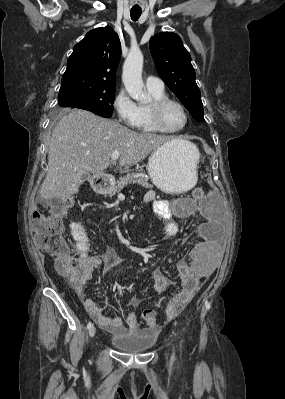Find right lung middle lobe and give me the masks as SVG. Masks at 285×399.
Here are the masks:
<instances>
[{
    "label": "right lung middle lobe",
    "instance_id": "dd1d6c3e",
    "mask_svg": "<svg viewBox=\"0 0 285 399\" xmlns=\"http://www.w3.org/2000/svg\"><path fill=\"white\" fill-rule=\"evenodd\" d=\"M115 90H80L58 95L60 107H71L91 111L110 118L113 113Z\"/></svg>",
    "mask_w": 285,
    "mask_h": 399
}]
</instances>
